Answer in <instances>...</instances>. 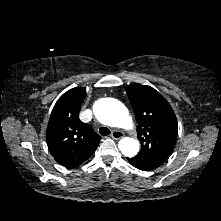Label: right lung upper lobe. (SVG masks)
Returning <instances> with one entry per match:
<instances>
[{
	"mask_svg": "<svg viewBox=\"0 0 221 221\" xmlns=\"http://www.w3.org/2000/svg\"><path fill=\"white\" fill-rule=\"evenodd\" d=\"M86 90L80 87L64 93L56 102L47 127V145L56 162L77 167L93 155L101 137L79 119Z\"/></svg>",
	"mask_w": 221,
	"mask_h": 221,
	"instance_id": "1",
	"label": "right lung upper lobe"
}]
</instances>
